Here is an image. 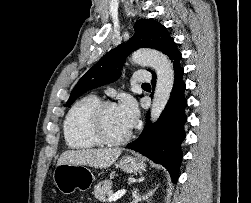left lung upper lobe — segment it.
<instances>
[{"instance_id":"obj_1","label":"left lung upper lobe","mask_w":251,"mask_h":203,"mask_svg":"<svg viewBox=\"0 0 251 203\" xmlns=\"http://www.w3.org/2000/svg\"><path fill=\"white\" fill-rule=\"evenodd\" d=\"M134 28V37L130 38L126 44H120L106 53L84 74L72 90L66 106L86 91L117 80L121 75L120 69L129 51H135L139 48H154L165 54L174 40L167 29L153 19L138 20ZM149 71L151 70L149 69Z\"/></svg>"}]
</instances>
